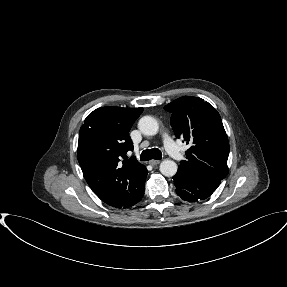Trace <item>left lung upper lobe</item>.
I'll return each instance as SVG.
<instances>
[{
  "instance_id": "obj_1",
  "label": "left lung upper lobe",
  "mask_w": 287,
  "mask_h": 287,
  "mask_svg": "<svg viewBox=\"0 0 287 287\" xmlns=\"http://www.w3.org/2000/svg\"><path fill=\"white\" fill-rule=\"evenodd\" d=\"M177 138L191 147L178 172L193 180L221 181L228 174L229 141L216 109L198 97L184 96L164 107Z\"/></svg>"
}]
</instances>
